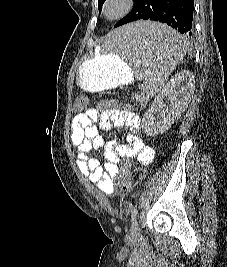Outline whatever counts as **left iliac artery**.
Here are the masks:
<instances>
[{"mask_svg":"<svg viewBox=\"0 0 227 267\" xmlns=\"http://www.w3.org/2000/svg\"><path fill=\"white\" fill-rule=\"evenodd\" d=\"M137 214V206L132 209L131 221H134Z\"/></svg>","mask_w":227,"mask_h":267,"instance_id":"obj_1","label":"left iliac artery"}]
</instances>
